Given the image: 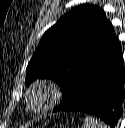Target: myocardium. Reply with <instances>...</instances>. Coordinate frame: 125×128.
<instances>
[{
    "instance_id": "f54148a6",
    "label": "myocardium",
    "mask_w": 125,
    "mask_h": 128,
    "mask_svg": "<svg viewBox=\"0 0 125 128\" xmlns=\"http://www.w3.org/2000/svg\"><path fill=\"white\" fill-rule=\"evenodd\" d=\"M59 86L53 81L34 82L25 95L28 111L34 114L45 113L53 109L61 99Z\"/></svg>"
}]
</instances>
